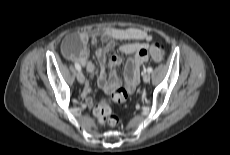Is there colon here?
<instances>
[{
	"label": "colon",
	"mask_w": 230,
	"mask_h": 155,
	"mask_svg": "<svg viewBox=\"0 0 230 155\" xmlns=\"http://www.w3.org/2000/svg\"><path fill=\"white\" fill-rule=\"evenodd\" d=\"M81 45L80 40L73 41L72 46L79 48ZM150 54L155 62H161L164 58V47L161 43H154L150 47ZM112 101V100H111ZM94 116L97 121L108 127H115L119 123L117 116L112 114L110 108V102L108 100H102L96 104L94 108Z\"/></svg>",
	"instance_id": "1"
}]
</instances>
